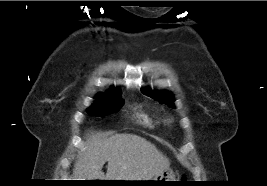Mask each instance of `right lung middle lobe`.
Here are the masks:
<instances>
[{
    "label": "right lung middle lobe",
    "mask_w": 267,
    "mask_h": 186,
    "mask_svg": "<svg viewBox=\"0 0 267 186\" xmlns=\"http://www.w3.org/2000/svg\"><path fill=\"white\" fill-rule=\"evenodd\" d=\"M120 95H99L95 103L87 109L88 114L103 117L117 112L123 105V100L120 99Z\"/></svg>",
    "instance_id": "right-lung-middle-lobe-1"
}]
</instances>
